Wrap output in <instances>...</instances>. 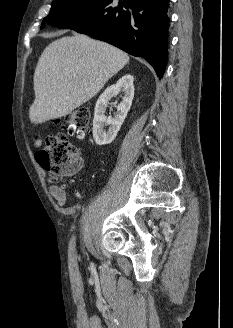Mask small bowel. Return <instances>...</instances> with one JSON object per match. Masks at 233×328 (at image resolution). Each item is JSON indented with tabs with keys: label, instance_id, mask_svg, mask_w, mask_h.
<instances>
[{
	"label": "small bowel",
	"instance_id": "obj_1",
	"mask_svg": "<svg viewBox=\"0 0 233 328\" xmlns=\"http://www.w3.org/2000/svg\"><path fill=\"white\" fill-rule=\"evenodd\" d=\"M50 193H51L52 197L57 201L59 206L65 205L67 198H66V193L63 188L51 187Z\"/></svg>",
	"mask_w": 233,
	"mask_h": 328
}]
</instances>
